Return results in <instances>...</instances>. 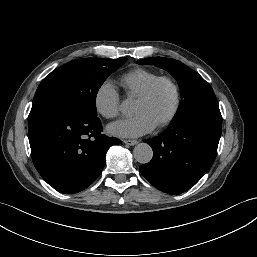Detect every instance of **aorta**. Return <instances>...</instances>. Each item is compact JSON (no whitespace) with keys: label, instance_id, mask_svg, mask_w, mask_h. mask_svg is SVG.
<instances>
[{"label":"aorta","instance_id":"1","mask_svg":"<svg viewBox=\"0 0 257 257\" xmlns=\"http://www.w3.org/2000/svg\"><path fill=\"white\" fill-rule=\"evenodd\" d=\"M132 107V103L130 100H124L121 105V111L123 113H127ZM134 158L137 162L141 164H146L151 161L153 157V151L149 144L147 143H139L134 147L133 150Z\"/></svg>","mask_w":257,"mask_h":257}]
</instances>
